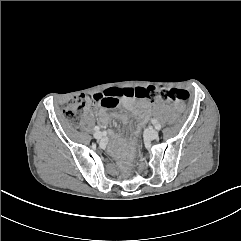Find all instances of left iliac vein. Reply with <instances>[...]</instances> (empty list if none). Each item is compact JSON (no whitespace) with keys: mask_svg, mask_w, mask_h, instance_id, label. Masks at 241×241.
Segmentation results:
<instances>
[{"mask_svg":"<svg viewBox=\"0 0 241 241\" xmlns=\"http://www.w3.org/2000/svg\"><path fill=\"white\" fill-rule=\"evenodd\" d=\"M145 135L148 139L154 140L158 138V131L155 129H147Z\"/></svg>","mask_w":241,"mask_h":241,"instance_id":"left-iliac-vein-1","label":"left iliac vein"}]
</instances>
